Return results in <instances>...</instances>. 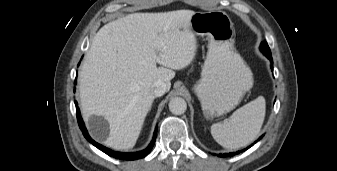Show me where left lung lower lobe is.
Masks as SVG:
<instances>
[{
    "instance_id": "1",
    "label": "left lung lower lobe",
    "mask_w": 337,
    "mask_h": 171,
    "mask_svg": "<svg viewBox=\"0 0 337 171\" xmlns=\"http://www.w3.org/2000/svg\"><path fill=\"white\" fill-rule=\"evenodd\" d=\"M268 59H270V62H271V64H273V61H272V57L271 56H266ZM271 69H272V71H273V66L271 65ZM262 137H260L259 139H261ZM258 141V140H257ZM257 141H255V143L257 142ZM253 145V144H252ZM252 145H250L249 147H247L246 149H248V148H250ZM244 151H245V149H244ZM242 152V151H241ZM240 153V151H237V152H233V153H228V154H219L218 156H220V157H227V156H234L235 154H239Z\"/></svg>"
}]
</instances>
